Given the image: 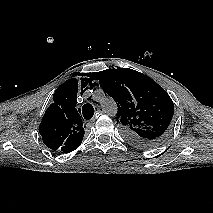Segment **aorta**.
<instances>
[{
	"label": "aorta",
	"mask_w": 213,
	"mask_h": 213,
	"mask_svg": "<svg viewBox=\"0 0 213 213\" xmlns=\"http://www.w3.org/2000/svg\"><path fill=\"white\" fill-rule=\"evenodd\" d=\"M99 102L104 108L105 112L109 115H115L117 113V106L113 99L105 96L103 93L99 96Z\"/></svg>",
	"instance_id": "1"
}]
</instances>
